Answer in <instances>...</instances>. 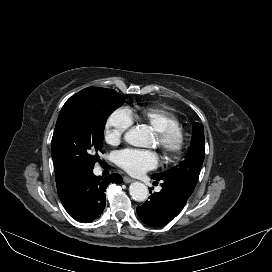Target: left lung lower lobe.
<instances>
[{
    "instance_id": "1",
    "label": "left lung lower lobe",
    "mask_w": 272,
    "mask_h": 272,
    "mask_svg": "<svg viewBox=\"0 0 272 272\" xmlns=\"http://www.w3.org/2000/svg\"><path fill=\"white\" fill-rule=\"evenodd\" d=\"M152 178L162 182V189L137 207V214L149 226H164L182 210L193 190L175 181Z\"/></svg>"
}]
</instances>
